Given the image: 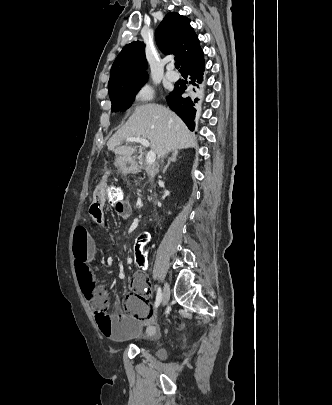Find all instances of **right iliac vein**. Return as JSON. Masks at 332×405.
Wrapping results in <instances>:
<instances>
[{
    "label": "right iliac vein",
    "instance_id": "obj_1",
    "mask_svg": "<svg viewBox=\"0 0 332 405\" xmlns=\"http://www.w3.org/2000/svg\"><path fill=\"white\" fill-rule=\"evenodd\" d=\"M170 298V287L168 283L164 284L163 292H162V305L165 306Z\"/></svg>",
    "mask_w": 332,
    "mask_h": 405
}]
</instances>
